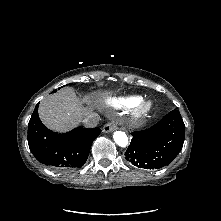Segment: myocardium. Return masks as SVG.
<instances>
[{
  "instance_id": "1",
  "label": "myocardium",
  "mask_w": 221,
  "mask_h": 221,
  "mask_svg": "<svg viewBox=\"0 0 221 221\" xmlns=\"http://www.w3.org/2000/svg\"><path fill=\"white\" fill-rule=\"evenodd\" d=\"M154 104L149 99H140L133 106L130 107L129 116L130 120L134 123H139L147 118L152 110Z\"/></svg>"
}]
</instances>
